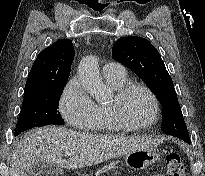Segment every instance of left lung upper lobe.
Returning <instances> with one entry per match:
<instances>
[{
    "label": "left lung upper lobe",
    "instance_id": "5c2ea615",
    "mask_svg": "<svg viewBox=\"0 0 205 176\" xmlns=\"http://www.w3.org/2000/svg\"><path fill=\"white\" fill-rule=\"evenodd\" d=\"M113 58L140 76L163 105V132L191 143L171 76L157 49L145 38L119 39L112 48Z\"/></svg>",
    "mask_w": 205,
    "mask_h": 176
}]
</instances>
